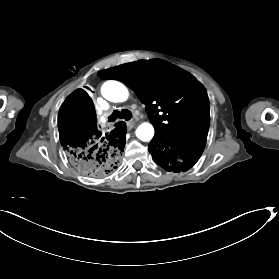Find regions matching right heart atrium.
I'll return each mask as SVG.
<instances>
[{"mask_svg": "<svg viewBox=\"0 0 279 279\" xmlns=\"http://www.w3.org/2000/svg\"><path fill=\"white\" fill-rule=\"evenodd\" d=\"M142 133H143V134H146V133H147V131H146V130H144V131H142Z\"/></svg>", "mask_w": 279, "mask_h": 279, "instance_id": "obj_1", "label": "right heart atrium"}]
</instances>
